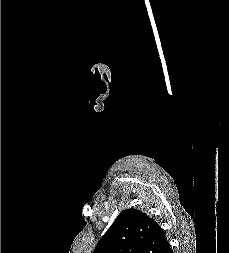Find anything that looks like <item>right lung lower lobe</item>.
<instances>
[{"label":"right lung lower lobe","instance_id":"right-lung-lower-lobe-1","mask_svg":"<svg viewBox=\"0 0 229 253\" xmlns=\"http://www.w3.org/2000/svg\"><path fill=\"white\" fill-rule=\"evenodd\" d=\"M163 253H173L171 245H169V247Z\"/></svg>","mask_w":229,"mask_h":253}]
</instances>
